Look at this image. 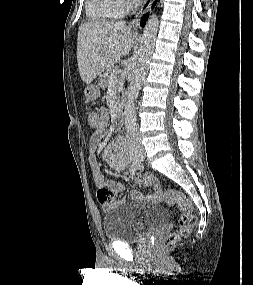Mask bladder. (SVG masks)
<instances>
[{"mask_svg":"<svg viewBox=\"0 0 253 285\" xmlns=\"http://www.w3.org/2000/svg\"><path fill=\"white\" fill-rule=\"evenodd\" d=\"M167 220L168 213L162 206L118 202L104 215L102 231L110 241L133 243L165 224Z\"/></svg>","mask_w":253,"mask_h":285,"instance_id":"obj_1","label":"bladder"}]
</instances>
